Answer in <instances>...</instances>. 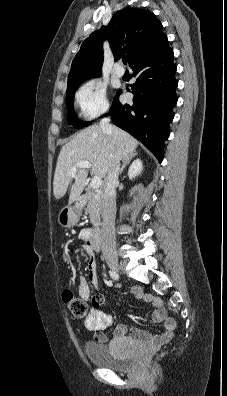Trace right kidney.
<instances>
[{"instance_id":"obj_1","label":"right kidney","mask_w":227,"mask_h":396,"mask_svg":"<svg viewBox=\"0 0 227 396\" xmlns=\"http://www.w3.org/2000/svg\"><path fill=\"white\" fill-rule=\"evenodd\" d=\"M143 165L140 159H136L131 166L129 167L128 170V176L129 179L135 178L137 175H139L142 172Z\"/></svg>"}]
</instances>
